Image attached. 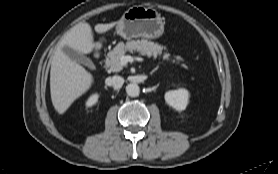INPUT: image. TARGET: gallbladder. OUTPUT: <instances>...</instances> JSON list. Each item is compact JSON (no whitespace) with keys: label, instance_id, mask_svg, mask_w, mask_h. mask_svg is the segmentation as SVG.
<instances>
[{"label":"gallbladder","instance_id":"gallbladder-1","mask_svg":"<svg viewBox=\"0 0 278 174\" xmlns=\"http://www.w3.org/2000/svg\"><path fill=\"white\" fill-rule=\"evenodd\" d=\"M62 51L72 60L79 62L89 68H93V62L86 56H84L83 54L73 50L72 48L68 47V46H64L62 48Z\"/></svg>","mask_w":278,"mask_h":174}]
</instances>
